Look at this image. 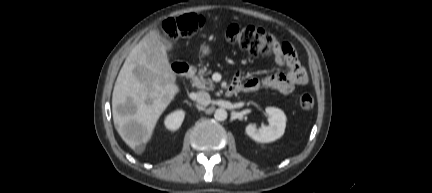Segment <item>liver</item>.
Listing matches in <instances>:
<instances>
[{
	"mask_svg": "<svg viewBox=\"0 0 432 193\" xmlns=\"http://www.w3.org/2000/svg\"><path fill=\"white\" fill-rule=\"evenodd\" d=\"M175 82L166 48L151 31L127 56L112 94L115 128L135 152L150 141L159 117L178 93ZM128 104L131 112L118 111Z\"/></svg>",
	"mask_w": 432,
	"mask_h": 193,
	"instance_id": "obj_1",
	"label": "liver"
}]
</instances>
